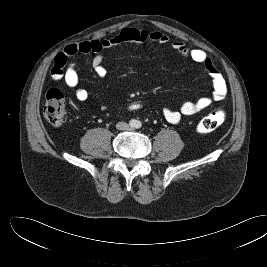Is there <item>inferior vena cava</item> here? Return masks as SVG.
<instances>
[{
  "label": "inferior vena cava",
  "instance_id": "obj_1",
  "mask_svg": "<svg viewBox=\"0 0 267 267\" xmlns=\"http://www.w3.org/2000/svg\"><path fill=\"white\" fill-rule=\"evenodd\" d=\"M117 128L120 129V130H126V129H128V124L125 123V122H119L117 124Z\"/></svg>",
  "mask_w": 267,
  "mask_h": 267
}]
</instances>
